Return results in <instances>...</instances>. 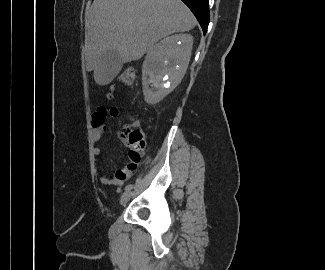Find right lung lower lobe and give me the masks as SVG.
<instances>
[{"mask_svg": "<svg viewBox=\"0 0 325 270\" xmlns=\"http://www.w3.org/2000/svg\"><path fill=\"white\" fill-rule=\"evenodd\" d=\"M197 18L205 34L210 20L209 0H182Z\"/></svg>", "mask_w": 325, "mask_h": 270, "instance_id": "obj_1", "label": "right lung lower lobe"}]
</instances>
